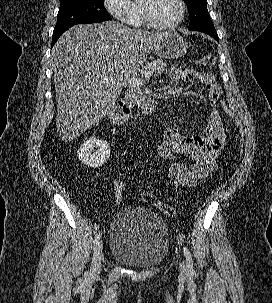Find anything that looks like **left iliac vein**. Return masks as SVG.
<instances>
[{
	"instance_id": "obj_1",
	"label": "left iliac vein",
	"mask_w": 272,
	"mask_h": 303,
	"mask_svg": "<svg viewBox=\"0 0 272 303\" xmlns=\"http://www.w3.org/2000/svg\"><path fill=\"white\" fill-rule=\"evenodd\" d=\"M180 271H181L182 275L186 274V268H185V263L184 262L180 263Z\"/></svg>"
}]
</instances>
